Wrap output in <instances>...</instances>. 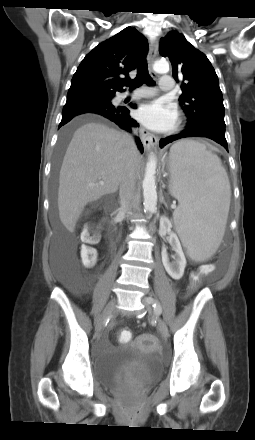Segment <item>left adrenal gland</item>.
<instances>
[{
    "label": "left adrenal gland",
    "mask_w": 255,
    "mask_h": 440,
    "mask_svg": "<svg viewBox=\"0 0 255 440\" xmlns=\"http://www.w3.org/2000/svg\"><path fill=\"white\" fill-rule=\"evenodd\" d=\"M164 205H166L165 201L163 200Z\"/></svg>",
    "instance_id": "obj_1"
}]
</instances>
